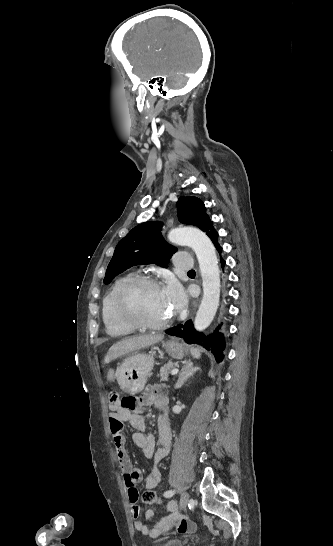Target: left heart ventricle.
I'll return each instance as SVG.
<instances>
[{
    "label": "left heart ventricle",
    "instance_id": "left-heart-ventricle-1",
    "mask_svg": "<svg viewBox=\"0 0 333 546\" xmlns=\"http://www.w3.org/2000/svg\"><path fill=\"white\" fill-rule=\"evenodd\" d=\"M139 315L149 322H162L172 314L161 287H146L135 298Z\"/></svg>",
    "mask_w": 333,
    "mask_h": 546
}]
</instances>
